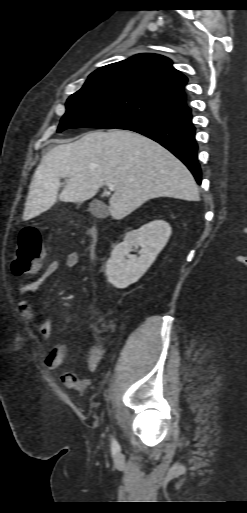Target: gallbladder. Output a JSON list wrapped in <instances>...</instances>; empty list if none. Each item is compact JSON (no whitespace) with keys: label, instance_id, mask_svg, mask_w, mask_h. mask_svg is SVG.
Here are the masks:
<instances>
[{"label":"gallbladder","instance_id":"obj_1","mask_svg":"<svg viewBox=\"0 0 247 513\" xmlns=\"http://www.w3.org/2000/svg\"><path fill=\"white\" fill-rule=\"evenodd\" d=\"M89 211L97 218H105L109 214L108 207L100 200H94L89 204Z\"/></svg>","mask_w":247,"mask_h":513}]
</instances>
